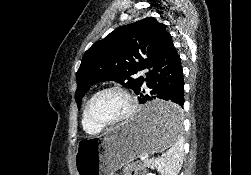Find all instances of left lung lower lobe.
Here are the masks:
<instances>
[{
	"label": "left lung lower lobe",
	"mask_w": 251,
	"mask_h": 175,
	"mask_svg": "<svg viewBox=\"0 0 251 175\" xmlns=\"http://www.w3.org/2000/svg\"><path fill=\"white\" fill-rule=\"evenodd\" d=\"M150 68L152 70H149L147 78L135 92L140 95V103L159 98L175 104L148 108L140 114V119L146 123H176L182 118L184 82L181 59L173 46L171 36ZM144 81H147V91L142 88Z\"/></svg>",
	"instance_id": "1"
}]
</instances>
